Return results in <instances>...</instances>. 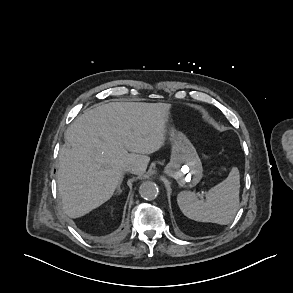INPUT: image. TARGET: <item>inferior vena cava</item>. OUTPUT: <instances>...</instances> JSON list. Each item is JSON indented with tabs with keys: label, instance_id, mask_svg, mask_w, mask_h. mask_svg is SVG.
<instances>
[{
	"label": "inferior vena cava",
	"instance_id": "inferior-vena-cava-1",
	"mask_svg": "<svg viewBox=\"0 0 293 293\" xmlns=\"http://www.w3.org/2000/svg\"><path fill=\"white\" fill-rule=\"evenodd\" d=\"M134 171V168L132 166H129L127 168H125V172H133Z\"/></svg>",
	"mask_w": 293,
	"mask_h": 293
}]
</instances>
